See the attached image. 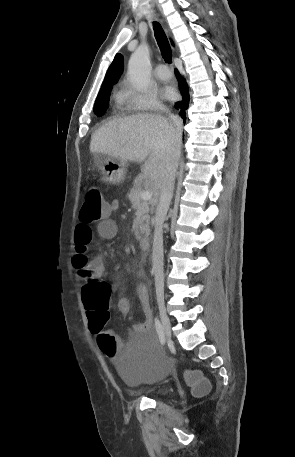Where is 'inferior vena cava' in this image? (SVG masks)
<instances>
[{"mask_svg":"<svg viewBox=\"0 0 295 457\" xmlns=\"http://www.w3.org/2000/svg\"><path fill=\"white\" fill-rule=\"evenodd\" d=\"M176 129V139L181 138V121L178 117L169 114ZM180 151L177 148L172 159L167 163L166 171L160 185V198L156 208L155 230L152 248V266L155 276V288L157 298L164 297V273H163V223L165 221L174 191L175 177L178 168Z\"/></svg>","mask_w":295,"mask_h":457,"instance_id":"inferior-vena-cava-1","label":"inferior vena cava"}]
</instances>
